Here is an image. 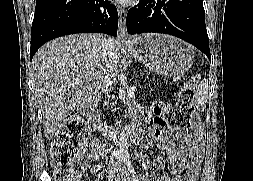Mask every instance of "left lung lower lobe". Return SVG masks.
Instances as JSON below:
<instances>
[{"label": "left lung lower lobe", "instance_id": "left-lung-lower-lobe-1", "mask_svg": "<svg viewBox=\"0 0 253 181\" xmlns=\"http://www.w3.org/2000/svg\"><path fill=\"white\" fill-rule=\"evenodd\" d=\"M127 32L170 34L194 45L211 60L203 0H140L128 11Z\"/></svg>", "mask_w": 253, "mask_h": 181}]
</instances>
